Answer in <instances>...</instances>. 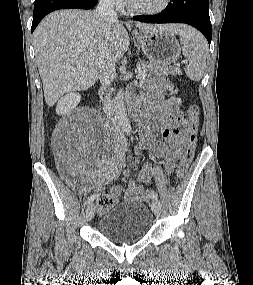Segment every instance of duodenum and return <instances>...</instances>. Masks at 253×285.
I'll list each match as a JSON object with an SVG mask.
<instances>
[{"label":"duodenum","instance_id":"duodenum-1","mask_svg":"<svg viewBox=\"0 0 253 285\" xmlns=\"http://www.w3.org/2000/svg\"><path fill=\"white\" fill-rule=\"evenodd\" d=\"M128 113L132 119L138 120L139 119V100L134 97L130 96L128 100Z\"/></svg>","mask_w":253,"mask_h":285}]
</instances>
